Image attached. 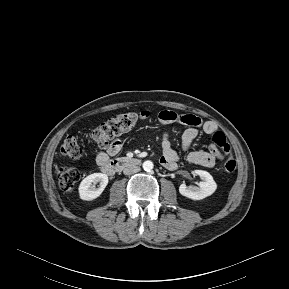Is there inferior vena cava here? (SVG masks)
<instances>
[{
    "mask_svg": "<svg viewBox=\"0 0 289 289\" xmlns=\"http://www.w3.org/2000/svg\"><path fill=\"white\" fill-rule=\"evenodd\" d=\"M138 171H140V168L138 166H130V167L125 168L123 173L125 175H131V174H134Z\"/></svg>",
    "mask_w": 289,
    "mask_h": 289,
    "instance_id": "inferior-vena-cava-1",
    "label": "inferior vena cava"
}]
</instances>
